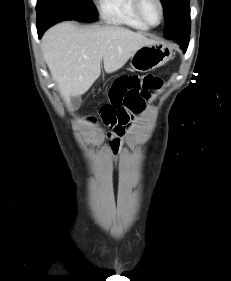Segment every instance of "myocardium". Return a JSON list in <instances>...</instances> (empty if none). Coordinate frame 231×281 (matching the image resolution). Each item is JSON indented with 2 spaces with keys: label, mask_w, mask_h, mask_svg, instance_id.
Instances as JSON below:
<instances>
[{
  "label": "myocardium",
  "mask_w": 231,
  "mask_h": 281,
  "mask_svg": "<svg viewBox=\"0 0 231 281\" xmlns=\"http://www.w3.org/2000/svg\"><path fill=\"white\" fill-rule=\"evenodd\" d=\"M155 1L160 8V20L158 23L153 24L147 19L146 15L143 11V0H134L135 10H136L139 18L149 27H156V26L160 25L163 22L164 17H165V9H164L162 0H155Z\"/></svg>",
  "instance_id": "obj_1"
}]
</instances>
